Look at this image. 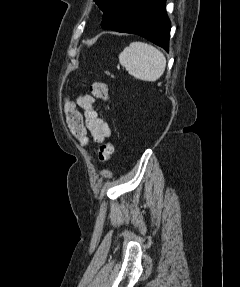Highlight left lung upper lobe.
Wrapping results in <instances>:
<instances>
[{
	"label": "left lung upper lobe",
	"mask_w": 240,
	"mask_h": 287,
	"mask_svg": "<svg viewBox=\"0 0 240 287\" xmlns=\"http://www.w3.org/2000/svg\"><path fill=\"white\" fill-rule=\"evenodd\" d=\"M96 2V4L98 5V7L103 11V9L105 8L108 0H94Z\"/></svg>",
	"instance_id": "5c2ea615"
}]
</instances>
